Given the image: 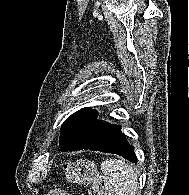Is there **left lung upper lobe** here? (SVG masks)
Listing matches in <instances>:
<instances>
[{
    "mask_svg": "<svg viewBox=\"0 0 189 195\" xmlns=\"http://www.w3.org/2000/svg\"><path fill=\"white\" fill-rule=\"evenodd\" d=\"M96 110L85 107L68 117L61 125L59 146L64 145L95 114Z\"/></svg>",
    "mask_w": 189,
    "mask_h": 195,
    "instance_id": "left-lung-upper-lobe-1",
    "label": "left lung upper lobe"
}]
</instances>
